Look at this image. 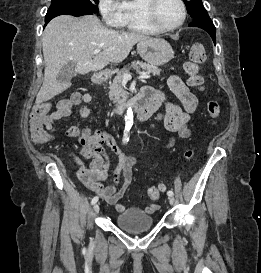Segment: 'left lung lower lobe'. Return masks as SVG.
<instances>
[{
    "label": "left lung lower lobe",
    "instance_id": "1",
    "mask_svg": "<svg viewBox=\"0 0 261 273\" xmlns=\"http://www.w3.org/2000/svg\"><path fill=\"white\" fill-rule=\"evenodd\" d=\"M189 26H195L204 29L212 37L214 43H216V29L208 14H203L195 18Z\"/></svg>",
    "mask_w": 261,
    "mask_h": 273
}]
</instances>
